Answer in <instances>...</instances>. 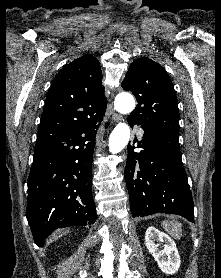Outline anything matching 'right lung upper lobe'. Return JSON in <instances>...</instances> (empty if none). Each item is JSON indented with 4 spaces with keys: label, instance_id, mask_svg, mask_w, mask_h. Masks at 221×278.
Listing matches in <instances>:
<instances>
[{
    "label": "right lung upper lobe",
    "instance_id": "right-lung-upper-lobe-1",
    "mask_svg": "<svg viewBox=\"0 0 221 278\" xmlns=\"http://www.w3.org/2000/svg\"><path fill=\"white\" fill-rule=\"evenodd\" d=\"M106 104L101 67L95 57L84 55L65 65L47 94L35 148L85 121L103 118Z\"/></svg>",
    "mask_w": 221,
    "mask_h": 278
}]
</instances>
